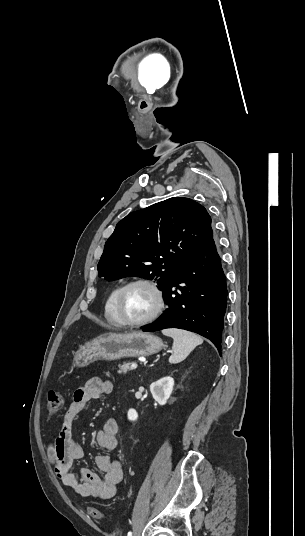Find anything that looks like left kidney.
Segmentation results:
<instances>
[{
  "instance_id": "1",
  "label": "left kidney",
  "mask_w": 305,
  "mask_h": 536,
  "mask_svg": "<svg viewBox=\"0 0 305 536\" xmlns=\"http://www.w3.org/2000/svg\"><path fill=\"white\" fill-rule=\"evenodd\" d=\"M173 386H174V380L171 378V376H165V378H161V380H157V382H153L150 386V392L155 400V402H158L160 406H164V404H167V400H169L172 392H173ZM128 420H137L138 414L136 410H129L128 414Z\"/></svg>"
}]
</instances>
